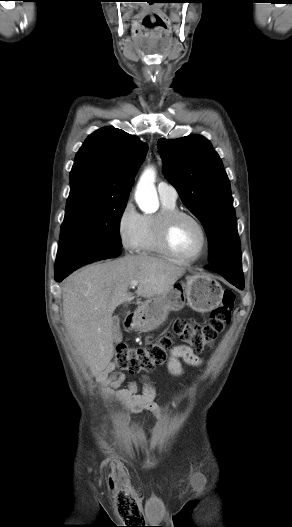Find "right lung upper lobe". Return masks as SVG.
<instances>
[{
	"label": "right lung upper lobe",
	"mask_w": 292,
	"mask_h": 527,
	"mask_svg": "<svg viewBox=\"0 0 292 527\" xmlns=\"http://www.w3.org/2000/svg\"><path fill=\"white\" fill-rule=\"evenodd\" d=\"M146 151L147 144L137 136L114 127L99 129L76 154L70 185L128 197Z\"/></svg>",
	"instance_id": "right-lung-upper-lobe-1"
}]
</instances>
